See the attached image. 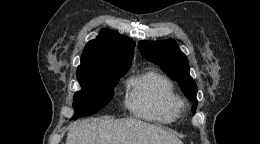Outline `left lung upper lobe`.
<instances>
[{"mask_svg": "<svg viewBox=\"0 0 260 144\" xmlns=\"http://www.w3.org/2000/svg\"><path fill=\"white\" fill-rule=\"evenodd\" d=\"M139 50L148 61L158 64L164 72L172 79H175L182 88L183 93L194 103L192 112L195 113L197 100V86L189 75V63L187 57L182 53L175 40L162 41H139Z\"/></svg>", "mask_w": 260, "mask_h": 144, "instance_id": "1", "label": "left lung upper lobe"}]
</instances>
